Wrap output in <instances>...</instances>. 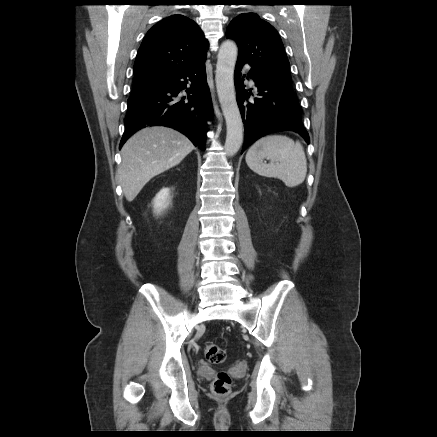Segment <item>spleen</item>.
I'll list each match as a JSON object with an SVG mask.
<instances>
[{
  "instance_id": "spleen-1",
  "label": "spleen",
  "mask_w": 437,
  "mask_h": 437,
  "mask_svg": "<svg viewBox=\"0 0 437 437\" xmlns=\"http://www.w3.org/2000/svg\"><path fill=\"white\" fill-rule=\"evenodd\" d=\"M270 163H263V159ZM246 163L255 173L278 178L287 187L301 184L307 174V159L300 142L283 135H268L256 141L246 154Z\"/></svg>"
}]
</instances>
